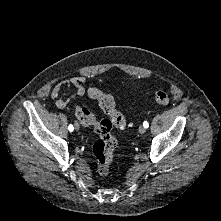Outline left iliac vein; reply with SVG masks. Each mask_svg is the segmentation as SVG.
<instances>
[{
    "label": "left iliac vein",
    "mask_w": 221,
    "mask_h": 221,
    "mask_svg": "<svg viewBox=\"0 0 221 221\" xmlns=\"http://www.w3.org/2000/svg\"><path fill=\"white\" fill-rule=\"evenodd\" d=\"M138 131L140 134H144L146 132V128L144 126H140Z\"/></svg>",
    "instance_id": "1"
}]
</instances>
